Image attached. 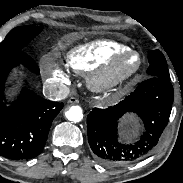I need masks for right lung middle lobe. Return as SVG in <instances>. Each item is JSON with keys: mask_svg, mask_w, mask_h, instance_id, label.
<instances>
[{"mask_svg": "<svg viewBox=\"0 0 183 183\" xmlns=\"http://www.w3.org/2000/svg\"><path fill=\"white\" fill-rule=\"evenodd\" d=\"M41 27L35 25L16 27L12 29L0 43V60L22 49L40 32Z\"/></svg>", "mask_w": 183, "mask_h": 183, "instance_id": "right-lung-middle-lobe-1", "label": "right lung middle lobe"}]
</instances>
